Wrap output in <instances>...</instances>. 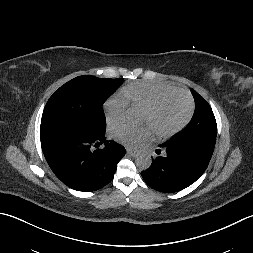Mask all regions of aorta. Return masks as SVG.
Instances as JSON below:
<instances>
[{
    "mask_svg": "<svg viewBox=\"0 0 253 253\" xmlns=\"http://www.w3.org/2000/svg\"><path fill=\"white\" fill-rule=\"evenodd\" d=\"M139 114L135 108H128L126 111V118L130 122H136ZM136 166L141 170H146L151 166L152 158L146 151L139 152L135 157Z\"/></svg>",
    "mask_w": 253,
    "mask_h": 253,
    "instance_id": "obj_1",
    "label": "aorta"
}]
</instances>
